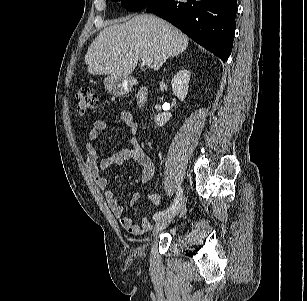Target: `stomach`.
<instances>
[{
  "instance_id": "stomach-1",
  "label": "stomach",
  "mask_w": 307,
  "mask_h": 301,
  "mask_svg": "<svg viewBox=\"0 0 307 301\" xmlns=\"http://www.w3.org/2000/svg\"><path fill=\"white\" fill-rule=\"evenodd\" d=\"M104 86L110 93L118 96L127 94L131 89L129 78L111 75L104 79Z\"/></svg>"
}]
</instances>
